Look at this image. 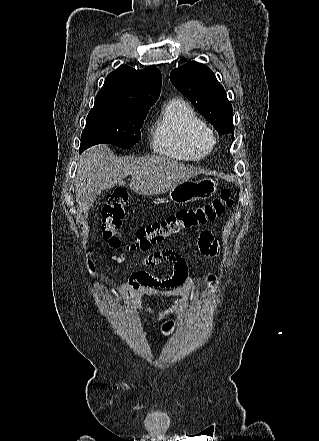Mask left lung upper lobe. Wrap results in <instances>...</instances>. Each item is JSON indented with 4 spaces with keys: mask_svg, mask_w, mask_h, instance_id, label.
Segmentation results:
<instances>
[{
    "mask_svg": "<svg viewBox=\"0 0 319 441\" xmlns=\"http://www.w3.org/2000/svg\"><path fill=\"white\" fill-rule=\"evenodd\" d=\"M170 80L220 134L233 133L231 103L209 67L191 61L172 70Z\"/></svg>",
    "mask_w": 319,
    "mask_h": 441,
    "instance_id": "1",
    "label": "left lung upper lobe"
}]
</instances>
